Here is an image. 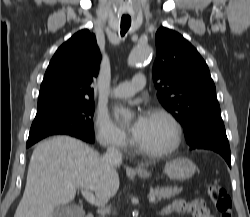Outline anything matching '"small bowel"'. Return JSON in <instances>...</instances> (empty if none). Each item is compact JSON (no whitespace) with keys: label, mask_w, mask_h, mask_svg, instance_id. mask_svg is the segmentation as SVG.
<instances>
[{"label":"small bowel","mask_w":250,"mask_h":217,"mask_svg":"<svg viewBox=\"0 0 250 217\" xmlns=\"http://www.w3.org/2000/svg\"><path fill=\"white\" fill-rule=\"evenodd\" d=\"M191 214L193 217H214L206 207V203L203 199H195L193 201H187L184 199H176L172 204L165 207L160 214Z\"/></svg>","instance_id":"obj_1"}]
</instances>
